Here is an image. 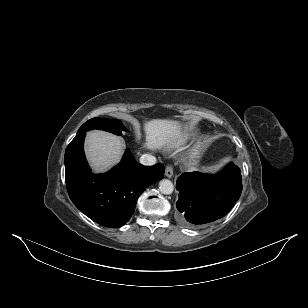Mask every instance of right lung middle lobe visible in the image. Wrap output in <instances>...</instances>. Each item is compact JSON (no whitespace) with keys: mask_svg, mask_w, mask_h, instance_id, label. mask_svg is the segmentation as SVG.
Here are the masks:
<instances>
[{"mask_svg":"<svg viewBox=\"0 0 308 308\" xmlns=\"http://www.w3.org/2000/svg\"><path fill=\"white\" fill-rule=\"evenodd\" d=\"M91 129H102L117 135H120L123 130H126L119 120L92 118L85 122L77 133Z\"/></svg>","mask_w":308,"mask_h":308,"instance_id":"dd1d6c3e","label":"right lung middle lobe"}]
</instances>
